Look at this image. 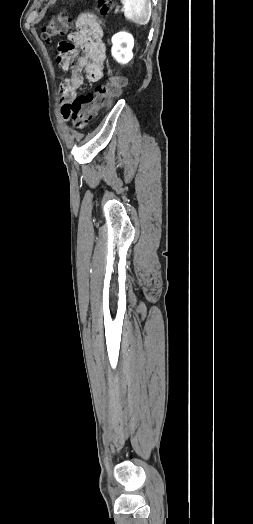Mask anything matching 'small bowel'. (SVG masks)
Returning <instances> with one entry per match:
<instances>
[{
    "label": "small bowel",
    "mask_w": 253,
    "mask_h": 524,
    "mask_svg": "<svg viewBox=\"0 0 253 524\" xmlns=\"http://www.w3.org/2000/svg\"><path fill=\"white\" fill-rule=\"evenodd\" d=\"M70 34L65 35L64 42L57 46L60 51L57 55L58 64L70 72L69 78L61 85L62 101L67 105L78 96L84 76L91 82L101 80L105 61L103 30L93 15L81 14L76 22V30L72 29ZM78 48L84 55L76 56ZM102 110L107 112L109 107L104 105Z\"/></svg>",
    "instance_id": "c3829d8e"
}]
</instances>
